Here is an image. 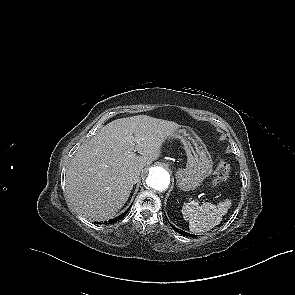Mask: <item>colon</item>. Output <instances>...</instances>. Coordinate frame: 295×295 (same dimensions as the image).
<instances>
[{
	"label": "colon",
	"instance_id": "obj_1",
	"mask_svg": "<svg viewBox=\"0 0 295 295\" xmlns=\"http://www.w3.org/2000/svg\"><path fill=\"white\" fill-rule=\"evenodd\" d=\"M229 173H230L229 163L226 161L220 162L217 165L216 170L214 172V176L210 183L211 186L215 187L221 184L222 182H224L228 178Z\"/></svg>",
	"mask_w": 295,
	"mask_h": 295
}]
</instances>
